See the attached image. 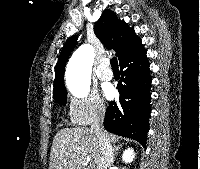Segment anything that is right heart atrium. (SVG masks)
<instances>
[{
  "label": "right heart atrium",
  "mask_w": 200,
  "mask_h": 169,
  "mask_svg": "<svg viewBox=\"0 0 200 169\" xmlns=\"http://www.w3.org/2000/svg\"><path fill=\"white\" fill-rule=\"evenodd\" d=\"M107 111L102 98L95 93L83 97H71L68 105V118L73 125L85 126L102 119Z\"/></svg>",
  "instance_id": "d8ad5b80"
}]
</instances>
